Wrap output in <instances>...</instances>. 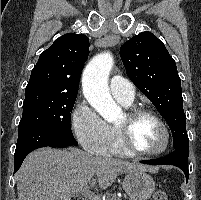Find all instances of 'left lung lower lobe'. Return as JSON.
I'll use <instances>...</instances> for the list:
<instances>
[{"label": "left lung lower lobe", "mask_w": 201, "mask_h": 200, "mask_svg": "<svg viewBox=\"0 0 201 200\" xmlns=\"http://www.w3.org/2000/svg\"><path fill=\"white\" fill-rule=\"evenodd\" d=\"M188 150L189 147H181L175 149L169 155L152 160H144L141 163L150 164V165H174L179 167L185 174L186 182H188Z\"/></svg>", "instance_id": "left-lung-lower-lobe-1"}]
</instances>
